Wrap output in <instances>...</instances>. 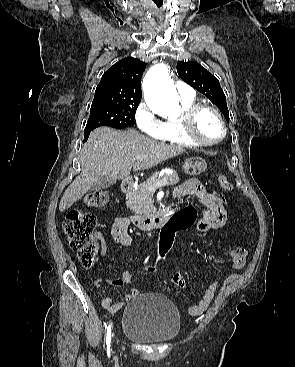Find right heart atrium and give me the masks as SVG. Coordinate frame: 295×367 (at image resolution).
Listing matches in <instances>:
<instances>
[{
	"label": "right heart atrium",
	"mask_w": 295,
	"mask_h": 367,
	"mask_svg": "<svg viewBox=\"0 0 295 367\" xmlns=\"http://www.w3.org/2000/svg\"><path fill=\"white\" fill-rule=\"evenodd\" d=\"M135 121L139 129L152 138L160 139L165 132V122L145 102L138 105Z\"/></svg>",
	"instance_id": "right-heart-atrium-1"
}]
</instances>
